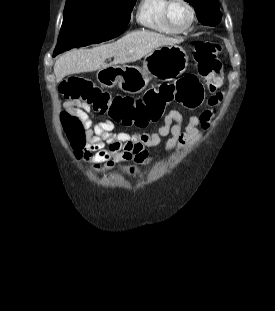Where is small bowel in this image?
<instances>
[{
  "label": "small bowel",
  "mask_w": 275,
  "mask_h": 311,
  "mask_svg": "<svg viewBox=\"0 0 275 311\" xmlns=\"http://www.w3.org/2000/svg\"><path fill=\"white\" fill-rule=\"evenodd\" d=\"M222 74L211 76L207 84L212 92H216L222 85ZM222 99L221 94L212 96L208 103L215 105ZM64 108L67 112L77 115L84 128L87 145L79 151L78 158L90 164V170L105 173L115 164L135 160L140 164H149L152 156L147 149L161 144L163 138L168 137L164 144L167 154L174 153L179 146L193 141L199 136V127H208L212 119L210 106L204 107L201 115L191 116L185 127L183 115L177 109L170 110L163 118V123L154 132L128 133L115 131L112 121L94 122L90 114V106L86 103L66 101Z\"/></svg>",
  "instance_id": "1"
}]
</instances>
